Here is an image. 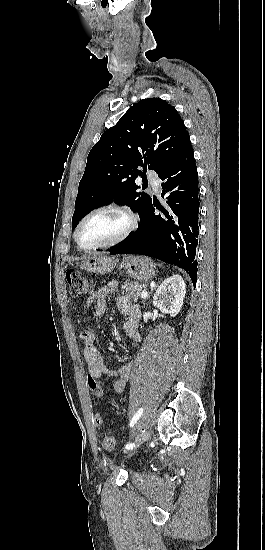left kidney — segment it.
<instances>
[{
	"mask_svg": "<svg viewBox=\"0 0 265 550\" xmlns=\"http://www.w3.org/2000/svg\"><path fill=\"white\" fill-rule=\"evenodd\" d=\"M186 294V284L180 275L165 279L153 296V305L161 312L175 317L181 310Z\"/></svg>",
	"mask_w": 265,
	"mask_h": 550,
	"instance_id": "left-kidney-1",
	"label": "left kidney"
}]
</instances>
